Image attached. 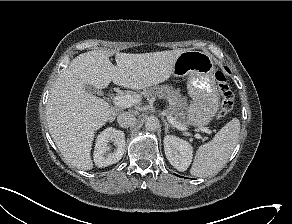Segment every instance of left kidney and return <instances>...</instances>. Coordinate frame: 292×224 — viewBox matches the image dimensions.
<instances>
[{
  "mask_svg": "<svg viewBox=\"0 0 292 224\" xmlns=\"http://www.w3.org/2000/svg\"><path fill=\"white\" fill-rule=\"evenodd\" d=\"M163 142L165 155L171 165L178 171H186L192 161L193 147L189 142L173 135H166Z\"/></svg>",
  "mask_w": 292,
  "mask_h": 224,
  "instance_id": "obj_1",
  "label": "left kidney"
}]
</instances>
